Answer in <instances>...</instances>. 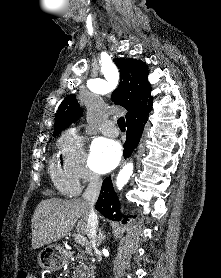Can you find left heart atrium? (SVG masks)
Wrapping results in <instances>:
<instances>
[{
  "label": "left heart atrium",
  "mask_w": 221,
  "mask_h": 278,
  "mask_svg": "<svg viewBox=\"0 0 221 278\" xmlns=\"http://www.w3.org/2000/svg\"><path fill=\"white\" fill-rule=\"evenodd\" d=\"M121 155V145L117 141L100 137L91 145V165L99 173H107L114 169Z\"/></svg>",
  "instance_id": "obj_1"
}]
</instances>
